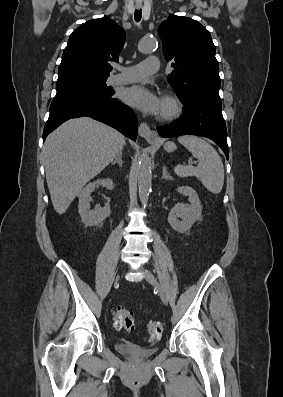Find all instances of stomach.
Here are the masks:
<instances>
[{
  "label": "stomach",
  "instance_id": "stomach-1",
  "mask_svg": "<svg viewBox=\"0 0 283 397\" xmlns=\"http://www.w3.org/2000/svg\"><path fill=\"white\" fill-rule=\"evenodd\" d=\"M164 149L167 152H173L176 149V145L173 142H166L164 145Z\"/></svg>",
  "mask_w": 283,
  "mask_h": 397
}]
</instances>
